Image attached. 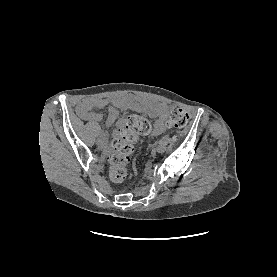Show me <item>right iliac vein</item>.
Returning a JSON list of instances; mask_svg holds the SVG:
<instances>
[{"instance_id":"1","label":"right iliac vein","mask_w":277,"mask_h":277,"mask_svg":"<svg viewBox=\"0 0 277 277\" xmlns=\"http://www.w3.org/2000/svg\"><path fill=\"white\" fill-rule=\"evenodd\" d=\"M97 145L99 147H104L106 144H107V140L105 137L103 138H98L97 141H96Z\"/></svg>"}]
</instances>
